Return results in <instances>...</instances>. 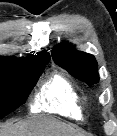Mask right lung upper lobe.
Wrapping results in <instances>:
<instances>
[{"mask_svg":"<svg viewBox=\"0 0 117 136\" xmlns=\"http://www.w3.org/2000/svg\"><path fill=\"white\" fill-rule=\"evenodd\" d=\"M50 60V54L47 53L46 51L39 52L37 55H32L31 57L27 59L23 58H15V57H4L0 56V63H11V64H18V65H29L32 64L35 61L38 60Z\"/></svg>","mask_w":117,"mask_h":136,"instance_id":"1","label":"right lung upper lobe"}]
</instances>
